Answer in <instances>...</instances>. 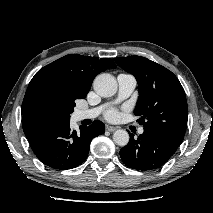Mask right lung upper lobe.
Here are the masks:
<instances>
[{
	"label": "right lung upper lobe",
	"instance_id": "1",
	"mask_svg": "<svg viewBox=\"0 0 213 213\" xmlns=\"http://www.w3.org/2000/svg\"><path fill=\"white\" fill-rule=\"evenodd\" d=\"M109 68H116L110 58L66 55L41 68L30 81L26 92L35 86L47 84L84 99L94 78Z\"/></svg>",
	"mask_w": 213,
	"mask_h": 213
}]
</instances>
